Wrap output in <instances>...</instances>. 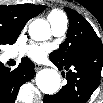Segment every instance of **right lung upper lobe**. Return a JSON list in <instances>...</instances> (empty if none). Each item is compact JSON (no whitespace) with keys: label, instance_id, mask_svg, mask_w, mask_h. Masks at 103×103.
Returning <instances> with one entry per match:
<instances>
[{"label":"right lung upper lobe","instance_id":"cb5924a9","mask_svg":"<svg viewBox=\"0 0 103 103\" xmlns=\"http://www.w3.org/2000/svg\"><path fill=\"white\" fill-rule=\"evenodd\" d=\"M46 6L34 4L0 5V29L10 34H20L26 22L41 13Z\"/></svg>","mask_w":103,"mask_h":103}]
</instances>
